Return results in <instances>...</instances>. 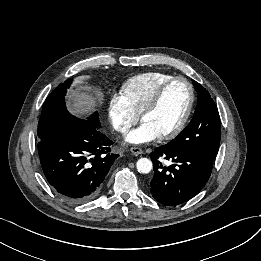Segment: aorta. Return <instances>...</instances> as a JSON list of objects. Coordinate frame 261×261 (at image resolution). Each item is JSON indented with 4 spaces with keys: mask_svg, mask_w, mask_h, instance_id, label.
I'll use <instances>...</instances> for the list:
<instances>
[{
    "mask_svg": "<svg viewBox=\"0 0 261 261\" xmlns=\"http://www.w3.org/2000/svg\"><path fill=\"white\" fill-rule=\"evenodd\" d=\"M136 167L139 173L147 174L152 170V162L148 158H140L136 163Z\"/></svg>",
    "mask_w": 261,
    "mask_h": 261,
    "instance_id": "aorta-1",
    "label": "aorta"
}]
</instances>
